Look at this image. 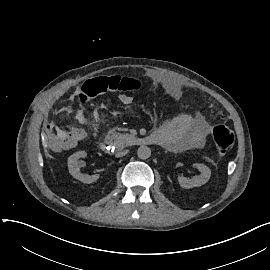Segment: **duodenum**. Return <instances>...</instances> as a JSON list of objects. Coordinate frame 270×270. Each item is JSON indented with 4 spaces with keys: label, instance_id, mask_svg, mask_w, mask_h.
<instances>
[{
    "label": "duodenum",
    "instance_id": "obj_1",
    "mask_svg": "<svg viewBox=\"0 0 270 270\" xmlns=\"http://www.w3.org/2000/svg\"><path fill=\"white\" fill-rule=\"evenodd\" d=\"M136 144L137 145H160L161 140H160L159 136L154 132V133H151L149 135L137 138ZM99 147H100L101 151H103L104 153H111L113 145H112L111 141L105 139V140L100 142Z\"/></svg>",
    "mask_w": 270,
    "mask_h": 270
}]
</instances>
